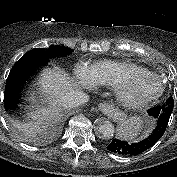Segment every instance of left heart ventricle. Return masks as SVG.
Returning <instances> with one entry per match:
<instances>
[{"label": "left heart ventricle", "mask_w": 177, "mask_h": 177, "mask_svg": "<svg viewBox=\"0 0 177 177\" xmlns=\"http://www.w3.org/2000/svg\"><path fill=\"white\" fill-rule=\"evenodd\" d=\"M159 87V83L150 78H130L126 82V91L133 97L154 94Z\"/></svg>", "instance_id": "1"}]
</instances>
